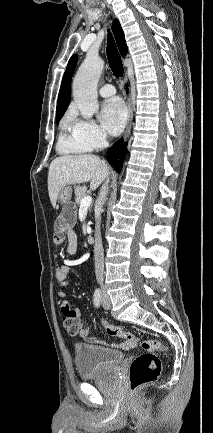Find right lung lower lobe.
<instances>
[{
	"label": "right lung lower lobe",
	"instance_id": "right-lung-lower-lobe-1",
	"mask_svg": "<svg viewBox=\"0 0 213 433\" xmlns=\"http://www.w3.org/2000/svg\"><path fill=\"white\" fill-rule=\"evenodd\" d=\"M126 154V144L119 140L108 152V162L120 172Z\"/></svg>",
	"mask_w": 213,
	"mask_h": 433
}]
</instances>
